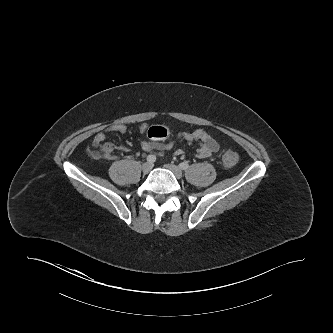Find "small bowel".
<instances>
[{
    "mask_svg": "<svg viewBox=\"0 0 333 333\" xmlns=\"http://www.w3.org/2000/svg\"><path fill=\"white\" fill-rule=\"evenodd\" d=\"M141 131L145 130V126L140 127ZM127 127L123 124H115L109 127L106 131L97 133L93 140L92 146L98 148L102 152V157L106 161H111L114 158L115 146L113 143L106 141L107 133H126ZM173 137L181 138L188 144L199 143L196 150L198 158H207L216 153L220 149L219 143L205 130L197 129L193 132L179 131ZM141 147L145 152L162 154L165 152L173 151L174 155L181 156L184 151L182 149L174 150L173 139L167 141H156L144 139L141 142ZM121 151H127V147L120 145L117 147Z\"/></svg>",
    "mask_w": 333,
    "mask_h": 333,
    "instance_id": "1",
    "label": "small bowel"
}]
</instances>
